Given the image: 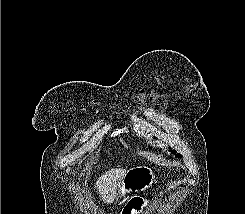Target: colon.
<instances>
[{
  "label": "colon",
  "mask_w": 245,
  "mask_h": 214,
  "mask_svg": "<svg viewBox=\"0 0 245 214\" xmlns=\"http://www.w3.org/2000/svg\"><path fill=\"white\" fill-rule=\"evenodd\" d=\"M143 203L140 200H132L130 206L132 208L140 207ZM127 213V212H126Z\"/></svg>",
  "instance_id": "obj_1"
}]
</instances>
